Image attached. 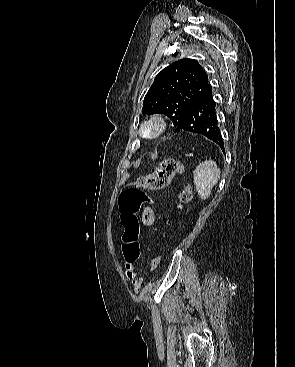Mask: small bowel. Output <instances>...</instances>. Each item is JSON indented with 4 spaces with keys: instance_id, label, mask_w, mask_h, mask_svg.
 <instances>
[{
    "instance_id": "obj_1",
    "label": "small bowel",
    "mask_w": 295,
    "mask_h": 367,
    "mask_svg": "<svg viewBox=\"0 0 295 367\" xmlns=\"http://www.w3.org/2000/svg\"><path fill=\"white\" fill-rule=\"evenodd\" d=\"M142 219H143L144 224L147 226H152L154 224L155 214L152 208L146 207L144 209ZM124 260H125L124 261L125 275L127 279L130 281L133 291L139 292L142 287V278L138 275L135 269V265H134L135 260L129 261L126 259L125 256H124ZM152 270L154 269L152 268Z\"/></svg>"
}]
</instances>
